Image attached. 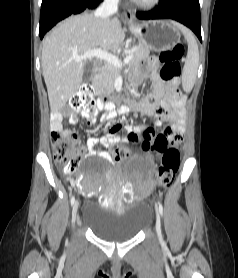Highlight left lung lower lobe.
<instances>
[{
  "instance_id": "left-lung-lower-lobe-1",
  "label": "left lung lower lobe",
  "mask_w": 238,
  "mask_h": 278,
  "mask_svg": "<svg viewBox=\"0 0 238 278\" xmlns=\"http://www.w3.org/2000/svg\"><path fill=\"white\" fill-rule=\"evenodd\" d=\"M142 20L165 19L176 20L189 27L202 42L199 0H160L159 5L148 12H138Z\"/></svg>"
}]
</instances>
